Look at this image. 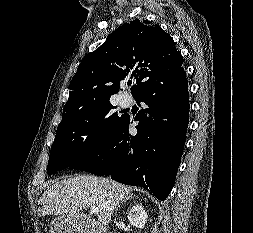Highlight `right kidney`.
Instances as JSON below:
<instances>
[{
	"mask_svg": "<svg viewBox=\"0 0 253 233\" xmlns=\"http://www.w3.org/2000/svg\"><path fill=\"white\" fill-rule=\"evenodd\" d=\"M127 218L131 225L143 229L147 221V212L141 204H135L129 211Z\"/></svg>",
	"mask_w": 253,
	"mask_h": 233,
	"instance_id": "1",
	"label": "right kidney"
}]
</instances>
